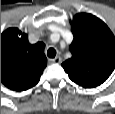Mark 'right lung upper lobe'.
Wrapping results in <instances>:
<instances>
[{"instance_id": "cb5924a9", "label": "right lung upper lobe", "mask_w": 115, "mask_h": 114, "mask_svg": "<svg viewBox=\"0 0 115 114\" xmlns=\"http://www.w3.org/2000/svg\"><path fill=\"white\" fill-rule=\"evenodd\" d=\"M42 42L30 44L17 28L1 34V82L15 91L35 86L47 65Z\"/></svg>"}]
</instances>
